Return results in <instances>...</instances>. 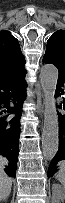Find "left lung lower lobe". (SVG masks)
<instances>
[{
  "mask_svg": "<svg viewBox=\"0 0 65 203\" xmlns=\"http://www.w3.org/2000/svg\"><path fill=\"white\" fill-rule=\"evenodd\" d=\"M44 63H52L46 57H43ZM53 64V63H52ZM59 71V77L57 81V89H56V97L65 94V72ZM60 109H63V112H58V117L60 118V142H59V150L56 153L55 157L51 161L49 171H48V178L53 176L59 169L60 165L58 166V162L62 161L65 164V99L64 102L59 105Z\"/></svg>",
  "mask_w": 65,
  "mask_h": 203,
  "instance_id": "0a47b994",
  "label": "left lung lower lobe"
}]
</instances>
